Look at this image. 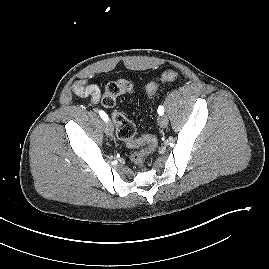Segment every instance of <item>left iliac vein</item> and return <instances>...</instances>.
I'll use <instances>...</instances> for the list:
<instances>
[{
  "instance_id": "1",
  "label": "left iliac vein",
  "mask_w": 269,
  "mask_h": 269,
  "mask_svg": "<svg viewBox=\"0 0 269 269\" xmlns=\"http://www.w3.org/2000/svg\"><path fill=\"white\" fill-rule=\"evenodd\" d=\"M158 124H159V126L162 127V128L167 127V125H168V118H167V116H165V115H161V116L158 118Z\"/></svg>"
}]
</instances>
